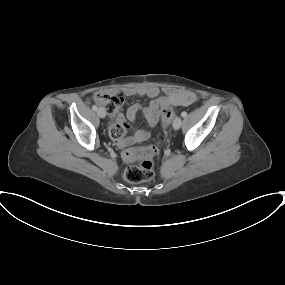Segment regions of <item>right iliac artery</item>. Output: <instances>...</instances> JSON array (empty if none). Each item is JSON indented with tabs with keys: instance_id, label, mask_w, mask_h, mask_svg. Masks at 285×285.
Listing matches in <instances>:
<instances>
[{
	"instance_id": "right-iliac-artery-1",
	"label": "right iliac artery",
	"mask_w": 285,
	"mask_h": 285,
	"mask_svg": "<svg viewBox=\"0 0 285 285\" xmlns=\"http://www.w3.org/2000/svg\"><path fill=\"white\" fill-rule=\"evenodd\" d=\"M92 109H93L94 111H96V110H97V106H96V105H93V106H92Z\"/></svg>"
}]
</instances>
